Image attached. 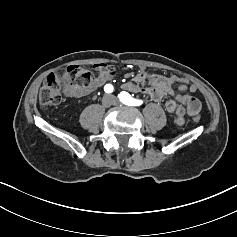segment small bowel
<instances>
[{
    "instance_id": "c3829d8e",
    "label": "small bowel",
    "mask_w": 237,
    "mask_h": 237,
    "mask_svg": "<svg viewBox=\"0 0 237 237\" xmlns=\"http://www.w3.org/2000/svg\"><path fill=\"white\" fill-rule=\"evenodd\" d=\"M97 75L91 86L85 89H74L68 85L64 86V94L70 98H81L91 94L97 88L112 80L117 70L114 66L106 64H96ZM180 83L179 93L174 89V85ZM123 88L134 93H142L155 102L162 101L165 97V109L168 113L174 114V121L177 125H182L187 116H193L201 108L200 100L197 96L184 94L185 91L195 92L197 86L179 76H163L152 74L144 69L140 70L133 78L123 84Z\"/></svg>"
}]
</instances>
